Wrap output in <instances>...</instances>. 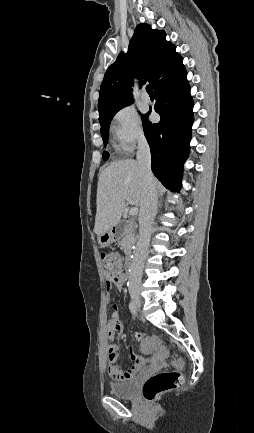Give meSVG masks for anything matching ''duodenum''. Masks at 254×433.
Returning a JSON list of instances; mask_svg holds the SVG:
<instances>
[{"instance_id": "obj_1", "label": "duodenum", "mask_w": 254, "mask_h": 433, "mask_svg": "<svg viewBox=\"0 0 254 433\" xmlns=\"http://www.w3.org/2000/svg\"><path fill=\"white\" fill-rule=\"evenodd\" d=\"M121 227H122L121 223L113 225L111 227V231L110 232H111V235H112L113 238H117L118 237V235L120 233V230H121ZM132 263H133L132 257L129 254H127L125 265H126V268L129 269V271H131V269H132Z\"/></svg>"}]
</instances>
